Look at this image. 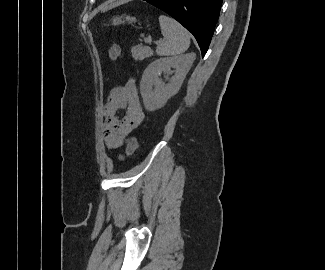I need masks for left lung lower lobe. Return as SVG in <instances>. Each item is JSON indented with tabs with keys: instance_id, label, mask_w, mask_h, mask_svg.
<instances>
[{
	"instance_id": "1",
	"label": "left lung lower lobe",
	"mask_w": 325,
	"mask_h": 270,
	"mask_svg": "<svg viewBox=\"0 0 325 270\" xmlns=\"http://www.w3.org/2000/svg\"><path fill=\"white\" fill-rule=\"evenodd\" d=\"M166 12L196 38L202 57L206 54L223 0H144Z\"/></svg>"
}]
</instances>
